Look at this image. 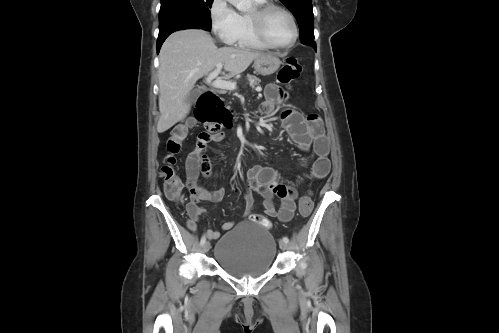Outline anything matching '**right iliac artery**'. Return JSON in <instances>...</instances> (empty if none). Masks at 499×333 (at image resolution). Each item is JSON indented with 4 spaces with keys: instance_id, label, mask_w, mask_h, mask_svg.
I'll return each mask as SVG.
<instances>
[{
    "instance_id": "right-iliac-artery-1",
    "label": "right iliac artery",
    "mask_w": 499,
    "mask_h": 333,
    "mask_svg": "<svg viewBox=\"0 0 499 333\" xmlns=\"http://www.w3.org/2000/svg\"><path fill=\"white\" fill-rule=\"evenodd\" d=\"M205 242H206V238H205V236H203L201 238L200 244L203 246Z\"/></svg>"
}]
</instances>
